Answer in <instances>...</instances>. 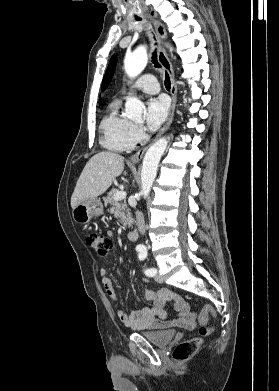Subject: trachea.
<instances>
[{"label": "trachea", "mask_w": 279, "mask_h": 391, "mask_svg": "<svg viewBox=\"0 0 279 391\" xmlns=\"http://www.w3.org/2000/svg\"><path fill=\"white\" fill-rule=\"evenodd\" d=\"M138 20H140V19H138ZM152 62H153L155 67H157V68L161 67V65L159 64V62L157 60L156 52H154L153 55H152ZM165 87H166L167 90H170V88H171L170 78H169V75H168L167 72L165 73Z\"/></svg>", "instance_id": "1"}]
</instances>
